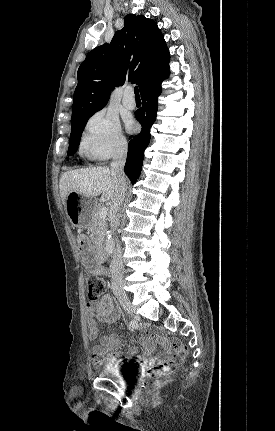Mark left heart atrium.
I'll return each mask as SVG.
<instances>
[{
    "mask_svg": "<svg viewBox=\"0 0 275 431\" xmlns=\"http://www.w3.org/2000/svg\"><path fill=\"white\" fill-rule=\"evenodd\" d=\"M128 126H129V128H130L131 130H135V129H136V125H135V123H134L133 121H130V122L128 123Z\"/></svg>",
    "mask_w": 275,
    "mask_h": 431,
    "instance_id": "1",
    "label": "left heart atrium"
}]
</instances>
